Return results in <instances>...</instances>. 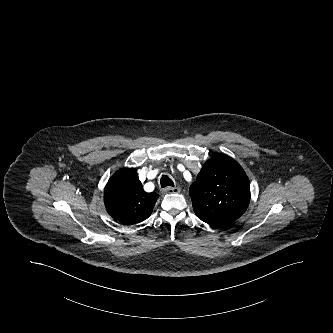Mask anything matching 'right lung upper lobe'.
<instances>
[{"mask_svg":"<svg viewBox=\"0 0 333 333\" xmlns=\"http://www.w3.org/2000/svg\"><path fill=\"white\" fill-rule=\"evenodd\" d=\"M159 195L143 190L135 168H124L108 181L104 191V203L108 213L125 225L147 219Z\"/></svg>","mask_w":333,"mask_h":333,"instance_id":"right-lung-upper-lobe-1","label":"right lung upper lobe"}]
</instances>
